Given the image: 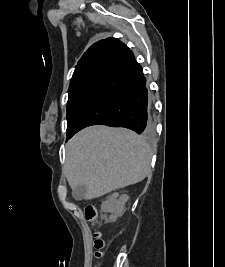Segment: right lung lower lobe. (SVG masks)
Returning a JSON list of instances; mask_svg holds the SVG:
<instances>
[{"instance_id": "obj_1", "label": "right lung lower lobe", "mask_w": 225, "mask_h": 267, "mask_svg": "<svg viewBox=\"0 0 225 267\" xmlns=\"http://www.w3.org/2000/svg\"><path fill=\"white\" fill-rule=\"evenodd\" d=\"M91 125L125 127L138 134H151L146 78L131 50L119 55L91 89L68 139Z\"/></svg>"}]
</instances>
